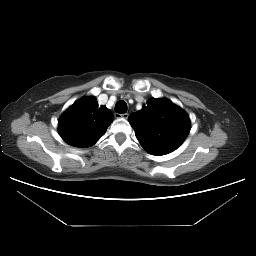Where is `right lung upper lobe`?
<instances>
[{"label":"right lung upper lobe","instance_id":"cb5924a9","mask_svg":"<svg viewBox=\"0 0 256 256\" xmlns=\"http://www.w3.org/2000/svg\"><path fill=\"white\" fill-rule=\"evenodd\" d=\"M113 121L112 113L106 107L98 108L94 97L75 102L61 116L58 129L61 137L70 145L90 147L104 135Z\"/></svg>","mask_w":256,"mask_h":256}]
</instances>
